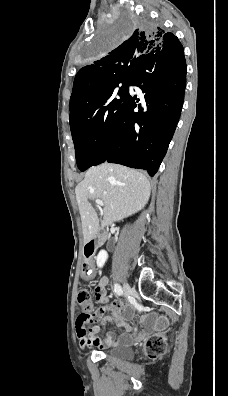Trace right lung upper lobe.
Listing matches in <instances>:
<instances>
[{"label": "right lung upper lobe", "mask_w": 228, "mask_h": 396, "mask_svg": "<svg viewBox=\"0 0 228 396\" xmlns=\"http://www.w3.org/2000/svg\"><path fill=\"white\" fill-rule=\"evenodd\" d=\"M181 46L172 33L160 27L142 26L117 48L84 66L76 74L70 98V120L81 114L101 93L114 83L131 79L140 61L159 47Z\"/></svg>", "instance_id": "right-lung-upper-lobe-1"}]
</instances>
